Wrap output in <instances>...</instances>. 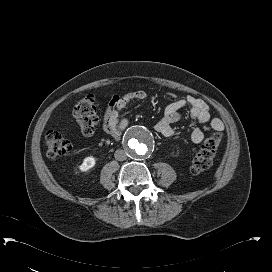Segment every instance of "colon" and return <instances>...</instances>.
I'll return each mask as SVG.
<instances>
[{"mask_svg":"<svg viewBox=\"0 0 272 272\" xmlns=\"http://www.w3.org/2000/svg\"><path fill=\"white\" fill-rule=\"evenodd\" d=\"M73 116L84 135L90 136L94 133L98 124V112L92 97L87 96L79 100L74 107ZM45 141L51 157L64 156L72 148L70 136L59 130L47 132ZM220 143L219 133L213 134L203 142L191 164L193 173L203 172L211 166Z\"/></svg>","mask_w":272,"mask_h":272,"instance_id":"colon-1","label":"colon"}]
</instances>
